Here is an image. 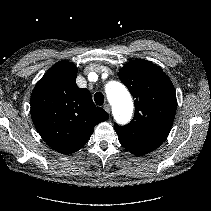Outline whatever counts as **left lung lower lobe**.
Instances as JSON below:
<instances>
[{
    "label": "left lung lower lobe",
    "instance_id": "0a47b994",
    "mask_svg": "<svg viewBox=\"0 0 211 211\" xmlns=\"http://www.w3.org/2000/svg\"><path fill=\"white\" fill-rule=\"evenodd\" d=\"M119 141L124 148H126L129 152L137 156L145 155L158 147V146L136 145L120 139Z\"/></svg>",
    "mask_w": 211,
    "mask_h": 211
}]
</instances>
